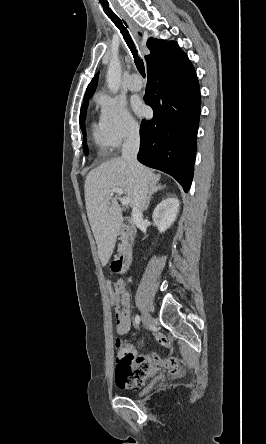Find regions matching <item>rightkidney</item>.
<instances>
[{"mask_svg":"<svg viewBox=\"0 0 266 444\" xmlns=\"http://www.w3.org/2000/svg\"><path fill=\"white\" fill-rule=\"evenodd\" d=\"M179 205L177 198L169 197L156 206L152 218L160 233L165 232L174 223Z\"/></svg>","mask_w":266,"mask_h":444,"instance_id":"ca27d5eb","label":"right kidney"}]
</instances>
